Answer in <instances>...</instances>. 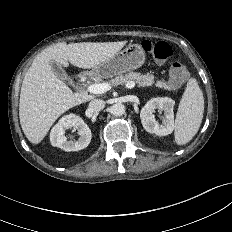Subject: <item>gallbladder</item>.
<instances>
[{"label":"gallbladder","instance_id":"gallbladder-1","mask_svg":"<svg viewBox=\"0 0 232 232\" xmlns=\"http://www.w3.org/2000/svg\"><path fill=\"white\" fill-rule=\"evenodd\" d=\"M54 74L62 81L71 83V78L67 75L63 67L55 61L50 62Z\"/></svg>","mask_w":232,"mask_h":232}]
</instances>
